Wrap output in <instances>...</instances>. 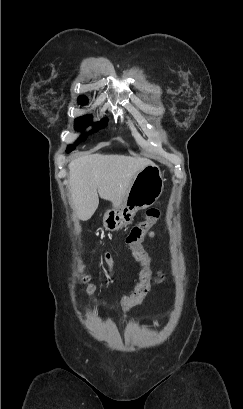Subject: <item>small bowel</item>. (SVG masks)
<instances>
[{
	"instance_id": "1",
	"label": "small bowel",
	"mask_w": 243,
	"mask_h": 409,
	"mask_svg": "<svg viewBox=\"0 0 243 409\" xmlns=\"http://www.w3.org/2000/svg\"><path fill=\"white\" fill-rule=\"evenodd\" d=\"M148 236H150V237H154V232L153 231H149L148 232ZM139 259V258H138ZM104 260H105V262L112 268L113 267V257H112V255L110 254V253H105L104 254ZM139 261L142 263V269H141V272H140V280H141V282L139 283V285L138 286H144L147 290H148V288H149V276H150V273H149V269H148V264H149V262H148V260L146 259V258H140L139 259ZM157 275H158V277H162L163 276V270L162 269H159L158 270V272H157ZM129 308V307H128ZM128 308H125V309H128Z\"/></svg>"
}]
</instances>
